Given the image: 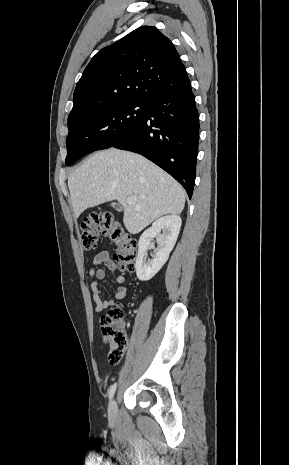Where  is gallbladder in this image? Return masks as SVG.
<instances>
[{
    "label": "gallbladder",
    "mask_w": 289,
    "mask_h": 465,
    "mask_svg": "<svg viewBox=\"0 0 289 465\" xmlns=\"http://www.w3.org/2000/svg\"><path fill=\"white\" fill-rule=\"evenodd\" d=\"M112 206L117 210H122V207L119 204L113 203Z\"/></svg>",
    "instance_id": "1"
}]
</instances>
